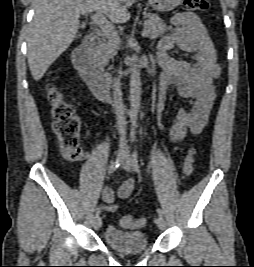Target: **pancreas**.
I'll return each instance as SVG.
<instances>
[{
	"instance_id": "cf45deb5",
	"label": "pancreas",
	"mask_w": 254,
	"mask_h": 267,
	"mask_svg": "<svg viewBox=\"0 0 254 267\" xmlns=\"http://www.w3.org/2000/svg\"><path fill=\"white\" fill-rule=\"evenodd\" d=\"M144 30L146 31V37L150 39H156L164 34L168 28L163 20L156 14L145 15ZM119 41L108 38V41L104 43L97 51V60L106 65L109 59L113 58V55L118 49Z\"/></svg>"
}]
</instances>
